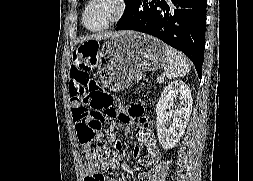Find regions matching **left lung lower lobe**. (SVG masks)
<instances>
[{
    "label": "left lung lower lobe",
    "instance_id": "left-lung-lower-lobe-1",
    "mask_svg": "<svg viewBox=\"0 0 253 181\" xmlns=\"http://www.w3.org/2000/svg\"><path fill=\"white\" fill-rule=\"evenodd\" d=\"M207 0H137L116 30L155 36L185 53L201 78Z\"/></svg>",
    "mask_w": 253,
    "mask_h": 181
}]
</instances>
